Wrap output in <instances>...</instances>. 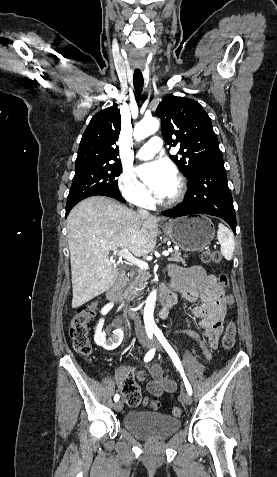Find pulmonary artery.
<instances>
[{"mask_svg":"<svg viewBox=\"0 0 277 477\" xmlns=\"http://www.w3.org/2000/svg\"><path fill=\"white\" fill-rule=\"evenodd\" d=\"M162 148V139L159 136H152L149 141L143 145L137 157L140 159H150Z\"/></svg>","mask_w":277,"mask_h":477,"instance_id":"obj_1","label":"pulmonary artery"}]
</instances>
